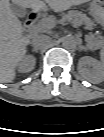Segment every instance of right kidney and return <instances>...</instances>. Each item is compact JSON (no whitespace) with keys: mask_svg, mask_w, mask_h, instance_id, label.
<instances>
[{"mask_svg":"<svg viewBox=\"0 0 104 137\" xmlns=\"http://www.w3.org/2000/svg\"><path fill=\"white\" fill-rule=\"evenodd\" d=\"M35 58L32 56L25 57L22 62L19 64V69L22 72H28L31 71L35 66Z\"/></svg>","mask_w":104,"mask_h":137,"instance_id":"obj_1","label":"right kidney"}]
</instances>
